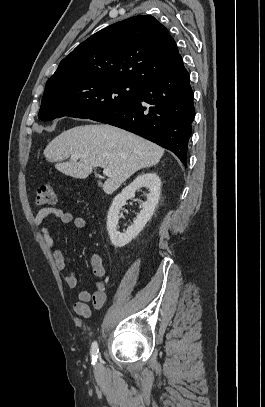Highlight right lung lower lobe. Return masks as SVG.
Returning a JSON list of instances; mask_svg holds the SVG:
<instances>
[{
	"instance_id": "right-lung-lower-lobe-1",
	"label": "right lung lower lobe",
	"mask_w": 265,
	"mask_h": 407,
	"mask_svg": "<svg viewBox=\"0 0 265 407\" xmlns=\"http://www.w3.org/2000/svg\"><path fill=\"white\" fill-rule=\"evenodd\" d=\"M194 117L189 73L180 56L172 70L143 84L132 103L90 119L138 134L172 151L186 166Z\"/></svg>"
}]
</instances>
